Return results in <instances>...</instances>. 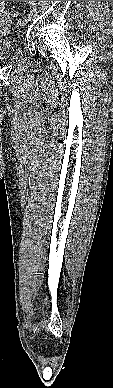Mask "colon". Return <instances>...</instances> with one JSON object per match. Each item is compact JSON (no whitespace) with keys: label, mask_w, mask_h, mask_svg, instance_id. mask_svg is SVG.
Returning <instances> with one entry per match:
<instances>
[{"label":"colon","mask_w":113,"mask_h":388,"mask_svg":"<svg viewBox=\"0 0 113 388\" xmlns=\"http://www.w3.org/2000/svg\"><path fill=\"white\" fill-rule=\"evenodd\" d=\"M11 16H15V13H12Z\"/></svg>","instance_id":"5ec220e1"}]
</instances>
